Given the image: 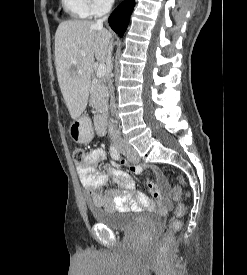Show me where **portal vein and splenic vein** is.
Masks as SVG:
<instances>
[{
  "label": "portal vein and splenic vein",
  "mask_w": 247,
  "mask_h": 275,
  "mask_svg": "<svg viewBox=\"0 0 247 275\" xmlns=\"http://www.w3.org/2000/svg\"><path fill=\"white\" fill-rule=\"evenodd\" d=\"M82 55H85L84 52L81 53ZM106 74V66L104 64H99L96 70L97 77H103Z\"/></svg>",
  "instance_id": "1"
}]
</instances>
